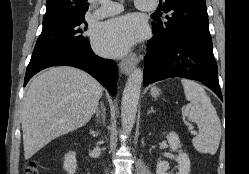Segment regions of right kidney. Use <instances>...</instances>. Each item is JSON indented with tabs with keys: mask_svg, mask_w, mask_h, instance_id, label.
<instances>
[{
	"mask_svg": "<svg viewBox=\"0 0 249 174\" xmlns=\"http://www.w3.org/2000/svg\"><path fill=\"white\" fill-rule=\"evenodd\" d=\"M63 168L68 172V174L75 173L77 168V160L74 152H69L65 156Z\"/></svg>",
	"mask_w": 249,
	"mask_h": 174,
	"instance_id": "1",
	"label": "right kidney"
}]
</instances>
